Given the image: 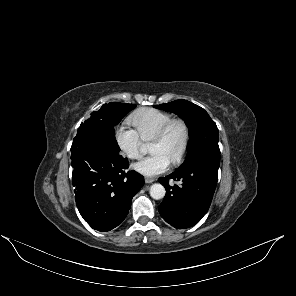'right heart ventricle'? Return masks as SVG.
<instances>
[{"label":"right heart ventricle","instance_id":"e07e8e85","mask_svg":"<svg viewBox=\"0 0 296 296\" xmlns=\"http://www.w3.org/2000/svg\"><path fill=\"white\" fill-rule=\"evenodd\" d=\"M172 119V115L153 108H145L134 113L130 122L144 141H151L161 128Z\"/></svg>","mask_w":296,"mask_h":296}]
</instances>
